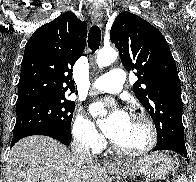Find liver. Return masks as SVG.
Segmentation results:
<instances>
[{
  "mask_svg": "<svg viewBox=\"0 0 196 182\" xmlns=\"http://www.w3.org/2000/svg\"><path fill=\"white\" fill-rule=\"evenodd\" d=\"M104 176L100 164L91 159L76 166L66 146L40 135L18 141L7 162V182H103Z\"/></svg>",
  "mask_w": 196,
  "mask_h": 182,
  "instance_id": "obj_1",
  "label": "liver"
}]
</instances>
